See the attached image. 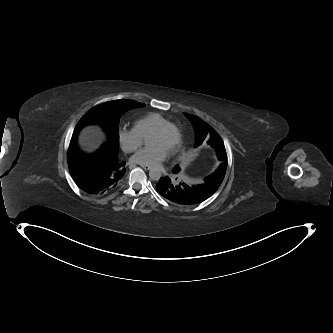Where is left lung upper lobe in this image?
Segmentation results:
<instances>
[{
  "label": "left lung upper lobe",
  "mask_w": 333,
  "mask_h": 333,
  "mask_svg": "<svg viewBox=\"0 0 333 333\" xmlns=\"http://www.w3.org/2000/svg\"><path fill=\"white\" fill-rule=\"evenodd\" d=\"M185 116L194 126L196 133V146H199L203 143V141H205L208 144L211 143L218 145V147L221 146L223 149V152H221L218 156V159L221 161L220 166L213 174L205 178V182L208 183L213 189L217 190L224 179L227 168V155L224 144L219 135L208 124L204 123L202 120L193 115L185 114ZM173 171L178 173L180 171L179 166H175Z\"/></svg>",
  "instance_id": "obj_1"
}]
</instances>
